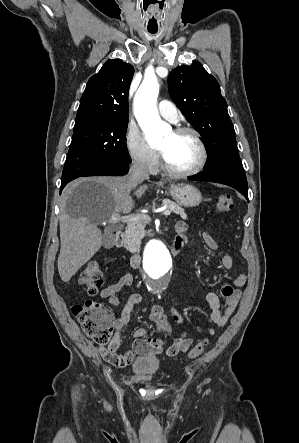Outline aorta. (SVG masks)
Wrapping results in <instances>:
<instances>
[{
    "label": "aorta",
    "mask_w": 299,
    "mask_h": 443,
    "mask_svg": "<svg viewBox=\"0 0 299 443\" xmlns=\"http://www.w3.org/2000/svg\"><path fill=\"white\" fill-rule=\"evenodd\" d=\"M159 84L155 76L145 77L134 97V115L150 145L159 144L170 132V126L163 122L156 108ZM147 275L154 280L153 288L160 291L159 282L172 267V257L165 244L158 239L148 242L143 259Z\"/></svg>",
    "instance_id": "aorta-1"
}]
</instances>
